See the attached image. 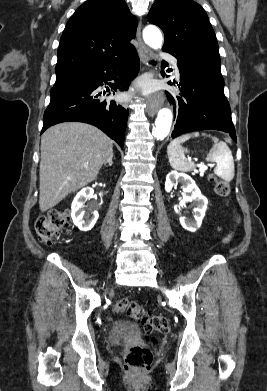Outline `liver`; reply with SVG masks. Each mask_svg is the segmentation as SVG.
I'll return each instance as SVG.
<instances>
[{
    "instance_id": "obj_1",
    "label": "liver",
    "mask_w": 267,
    "mask_h": 391,
    "mask_svg": "<svg viewBox=\"0 0 267 391\" xmlns=\"http://www.w3.org/2000/svg\"><path fill=\"white\" fill-rule=\"evenodd\" d=\"M112 156L111 139L92 125L66 122L46 130L41 138V212L95 180Z\"/></svg>"
}]
</instances>
